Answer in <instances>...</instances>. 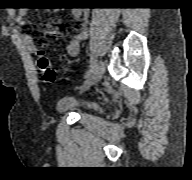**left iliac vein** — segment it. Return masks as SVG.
Listing matches in <instances>:
<instances>
[{
    "label": "left iliac vein",
    "mask_w": 192,
    "mask_h": 180,
    "mask_svg": "<svg viewBox=\"0 0 192 180\" xmlns=\"http://www.w3.org/2000/svg\"><path fill=\"white\" fill-rule=\"evenodd\" d=\"M105 72V64L103 61H100L92 74L89 76V78L86 80L85 84L83 85V89H88L92 85L99 82Z\"/></svg>",
    "instance_id": "left-iliac-vein-1"
}]
</instances>
